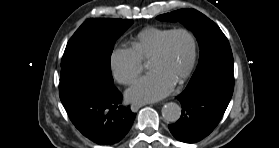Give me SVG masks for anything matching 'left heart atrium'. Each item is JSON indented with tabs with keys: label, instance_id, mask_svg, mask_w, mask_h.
<instances>
[{
	"label": "left heart atrium",
	"instance_id": "obj_1",
	"mask_svg": "<svg viewBox=\"0 0 279 148\" xmlns=\"http://www.w3.org/2000/svg\"><path fill=\"white\" fill-rule=\"evenodd\" d=\"M173 90V82L163 76L150 73L140 78L126 93L128 101L150 102L160 100Z\"/></svg>",
	"mask_w": 279,
	"mask_h": 148
}]
</instances>
